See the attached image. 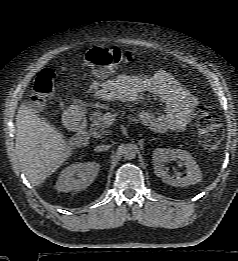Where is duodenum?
<instances>
[{"mask_svg": "<svg viewBox=\"0 0 238 261\" xmlns=\"http://www.w3.org/2000/svg\"><path fill=\"white\" fill-rule=\"evenodd\" d=\"M66 123L75 131L71 139L72 145L76 147L85 146L89 140V133L87 131V121L83 113H69L66 117Z\"/></svg>", "mask_w": 238, "mask_h": 261, "instance_id": "duodenum-1", "label": "duodenum"}]
</instances>
